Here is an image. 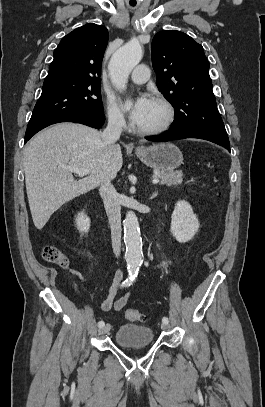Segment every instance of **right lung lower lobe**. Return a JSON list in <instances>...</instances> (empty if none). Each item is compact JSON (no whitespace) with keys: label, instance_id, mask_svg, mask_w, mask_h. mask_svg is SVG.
I'll return each instance as SVG.
<instances>
[{"label":"right lung lower lobe","instance_id":"obj_1","mask_svg":"<svg viewBox=\"0 0 265 407\" xmlns=\"http://www.w3.org/2000/svg\"><path fill=\"white\" fill-rule=\"evenodd\" d=\"M105 121V116L103 112H95V111H81L72 114L63 115L56 119H53L49 122H46L36 128L31 130H26L25 134V142H27L34 134H36L41 129L55 123L59 122H75L81 123L93 128H100Z\"/></svg>","mask_w":265,"mask_h":407}]
</instances>
